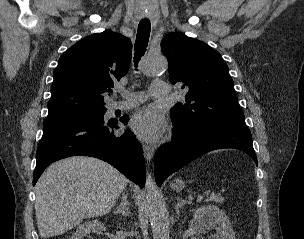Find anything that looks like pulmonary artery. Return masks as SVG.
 <instances>
[{"label":"pulmonary artery","instance_id":"e3ab8cb5","mask_svg":"<svg viewBox=\"0 0 304 239\" xmlns=\"http://www.w3.org/2000/svg\"><path fill=\"white\" fill-rule=\"evenodd\" d=\"M123 93L122 91H119ZM169 93V87L166 82L157 81L154 82L151 86L150 96L154 98L164 97ZM147 99V95L139 92V93H128V97L123 101H115L111 103L110 109L112 111L116 110H124L136 105L143 103Z\"/></svg>","mask_w":304,"mask_h":239}]
</instances>
